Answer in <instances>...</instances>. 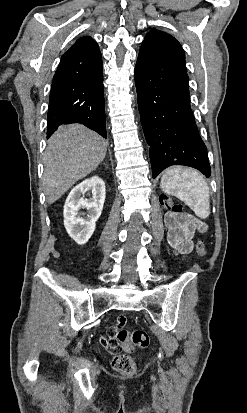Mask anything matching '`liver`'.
<instances>
[{
	"label": "liver",
	"mask_w": 247,
	"mask_h": 413,
	"mask_svg": "<svg viewBox=\"0 0 247 413\" xmlns=\"http://www.w3.org/2000/svg\"><path fill=\"white\" fill-rule=\"evenodd\" d=\"M108 142L83 124H63L50 136L44 154L42 184L48 204L105 158Z\"/></svg>",
	"instance_id": "obj_1"
}]
</instances>
